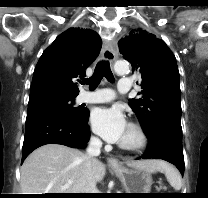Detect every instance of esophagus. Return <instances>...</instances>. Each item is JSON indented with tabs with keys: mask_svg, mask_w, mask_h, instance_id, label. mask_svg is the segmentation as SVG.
Segmentation results:
<instances>
[{
	"mask_svg": "<svg viewBox=\"0 0 208 198\" xmlns=\"http://www.w3.org/2000/svg\"><path fill=\"white\" fill-rule=\"evenodd\" d=\"M102 55H103V58L105 60H108V61H111V62L114 61V59H115V50H114L111 43H106L104 45ZM107 162H108V165L111 166V167H118L120 165L119 161L114 157L108 158Z\"/></svg>",
	"mask_w": 208,
	"mask_h": 198,
	"instance_id": "1",
	"label": "esophagus"
}]
</instances>
